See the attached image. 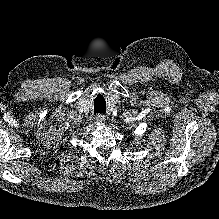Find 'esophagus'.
<instances>
[{"instance_id":"esophagus-1","label":"esophagus","mask_w":219,"mask_h":219,"mask_svg":"<svg viewBox=\"0 0 219 219\" xmlns=\"http://www.w3.org/2000/svg\"><path fill=\"white\" fill-rule=\"evenodd\" d=\"M104 121H105L104 115L99 114V115H96V116L94 117V122H95V123H102V122H104Z\"/></svg>"}]
</instances>
